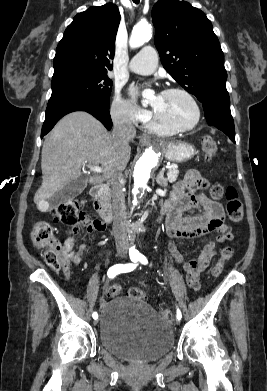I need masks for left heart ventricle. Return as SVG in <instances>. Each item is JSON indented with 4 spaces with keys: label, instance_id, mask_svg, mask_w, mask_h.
<instances>
[{
    "label": "left heart ventricle",
    "instance_id": "1",
    "mask_svg": "<svg viewBox=\"0 0 267 391\" xmlns=\"http://www.w3.org/2000/svg\"><path fill=\"white\" fill-rule=\"evenodd\" d=\"M152 105L157 116L165 123L173 126H188L195 117L192 104L179 93H162L153 98Z\"/></svg>",
    "mask_w": 267,
    "mask_h": 391
}]
</instances>
